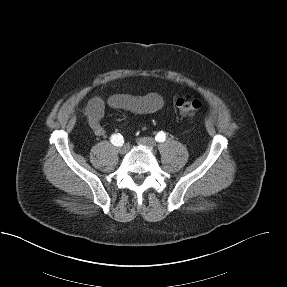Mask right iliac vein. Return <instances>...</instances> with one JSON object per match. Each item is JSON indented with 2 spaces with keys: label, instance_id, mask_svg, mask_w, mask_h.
Instances as JSON below:
<instances>
[{
  "label": "right iliac vein",
  "instance_id": "63e3f726",
  "mask_svg": "<svg viewBox=\"0 0 287 287\" xmlns=\"http://www.w3.org/2000/svg\"><path fill=\"white\" fill-rule=\"evenodd\" d=\"M128 149H129V146L127 144H125L119 148V153L125 154L128 151Z\"/></svg>",
  "mask_w": 287,
  "mask_h": 287
}]
</instances>
